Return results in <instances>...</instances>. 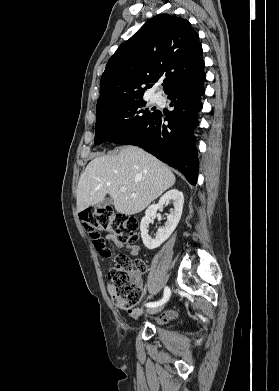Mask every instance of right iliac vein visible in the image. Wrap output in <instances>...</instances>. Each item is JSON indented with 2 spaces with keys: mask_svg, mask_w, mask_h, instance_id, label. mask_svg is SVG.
Returning <instances> with one entry per match:
<instances>
[{
  "mask_svg": "<svg viewBox=\"0 0 279 391\" xmlns=\"http://www.w3.org/2000/svg\"><path fill=\"white\" fill-rule=\"evenodd\" d=\"M162 309H163V306L159 305V306H156V307L148 309L147 313H149V314H156V313L160 312Z\"/></svg>",
  "mask_w": 279,
  "mask_h": 391,
  "instance_id": "right-iliac-vein-1",
  "label": "right iliac vein"
}]
</instances>
